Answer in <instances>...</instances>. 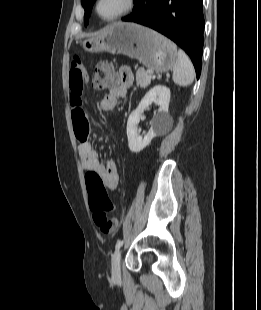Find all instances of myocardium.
Returning <instances> with one entry per match:
<instances>
[{"mask_svg":"<svg viewBox=\"0 0 261 310\" xmlns=\"http://www.w3.org/2000/svg\"><path fill=\"white\" fill-rule=\"evenodd\" d=\"M102 0H96L94 3V11L99 19L104 22H113L128 15L135 7L136 0H123L122 8L112 16H103L99 11V5Z\"/></svg>","mask_w":261,"mask_h":310,"instance_id":"1","label":"myocardium"}]
</instances>
